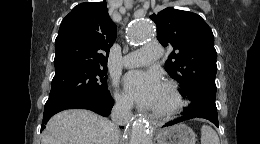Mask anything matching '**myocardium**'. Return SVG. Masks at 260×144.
<instances>
[{
    "label": "myocardium",
    "instance_id": "myocardium-1",
    "mask_svg": "<svg viewBox=\"0 0 260 144\" xmlns=\"http://www.w3.org/2000/svg\"><path fill=\"white\" fill-rule=\"evenodd\" d=\"M164 86L169 91V93L172 97L173 103L170 107H167V108H162V109L154 108L153 113L155 115L161 116V117L176 116L183 110V108L185 106L184 99L182 97V94H181L178 86L174 82L167 81L164 83Z\"/></svg>",
    "mask_w": 260,
    "mask_h": 144
}]
</instances>
